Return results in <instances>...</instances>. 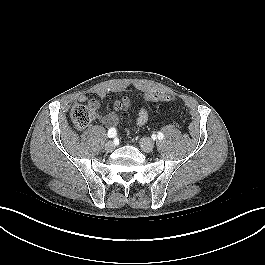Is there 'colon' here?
Returning a JSON list of instances; mask_svg holds the SVG:
<instances>
[{"label":"colon","instance_id":"colon-1","mask_svg":"<svg viewBox=\"0 0 265 265\" xmlns=\"http://www.w3.org/2000/svg\"><path fill=\"white\" fill-rule=\"evenodd\" d=\"M148 101H168L169 97L161 96L158 93H148L146 96ZM95 106L91 103L76 104L71 110V119L76 128L82 129L88 126L95 118ZM122 108L121 102H116L114 109L119 112Z\"/></svg>","mask_w":265,"mask_h":265}]
</instances>
